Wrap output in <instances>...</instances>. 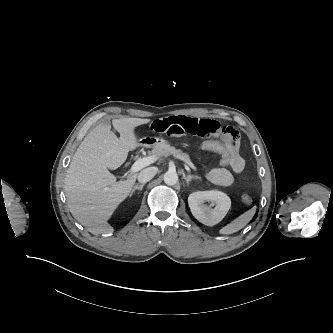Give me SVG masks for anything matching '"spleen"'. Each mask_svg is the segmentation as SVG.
Masks as SVG:
<instances>
[{"instance_id":"obj_1","label":"spleen","mask_w":333,"mask_h":333,"mask_svg":"<svg viewBox=\"0 0 333 333\" xmlns=\"http://www.w3.org/2000/svg\"><path fill=\"white\" fill-rule=\"evenodd\" d=\"M255 213H256V206L252 207L248 211L244 212L243 214H241L240 216L235 218L229 224L222 227L219 230V234L230 235V234L238 232L252 220Z\"/></svg>"}]
</instances>
